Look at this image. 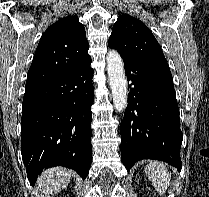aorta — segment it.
Listing matches in <instances>:
<instances>
[{
  "label": "aorta",
  "mask_w": 209,
  "mask_h": 197,
  "mask_svg": "<svg viewBox=\"0 0 209 197\" xmlns=\"http://www.w3.org/2000/svg\"><path fill=\"white\" fill-rule=\"evenodd\" d=\"M106 61L113 104L117 112H122L126 108L128 100L124 64L120 54L116 50L108 52Z\"/></svg>",
  "instance_id": "762f6f07"
}]
</instances>
